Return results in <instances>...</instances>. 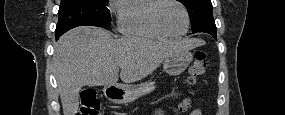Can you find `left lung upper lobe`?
Masks as SVG:
<instances>
[{
    "label": "left lung upper lobe",
    "mask_w": 285,
    "mask_h": 115,
    "mask_svg": "<svg viewBox=\"0 0 285 115\" xmlns=\"http://www.w3.org/2000/svg\"><path fill=\"white\" fill-rule=\"evenodd\" d=\"M189 13L192 32H202L205 27L215 25L211 0H180Z\"/></svg>",
    "instance_id": "left-lung-upper-lobe-1"
}]
</instances>
